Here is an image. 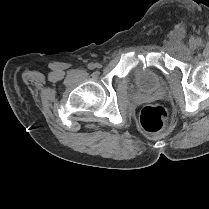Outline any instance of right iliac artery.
Wrapping results in <instances>:
<instances>
[{"label": "right iliac artery", "mask_w": 209, "mask_h": 209, "mask_svg": "<svg viewBox=\"0 0 209 209\" xmlns=\"http://www.w3.org/2000/svg\"><path fill=\"white\" fill-rule=\"evenodd\" d=\"M88 68L89 69H94L95 68V64H93V63L88 64Z\"/></svg>", "instance_id": "obj_1"}]
</instances>
